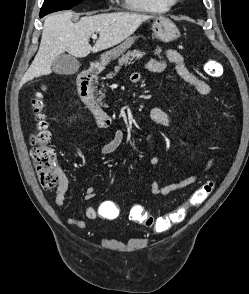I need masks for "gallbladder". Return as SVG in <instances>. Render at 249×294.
Returning a JSON list of instances; mask_svg holds the SVG:
<instances>
[{"label": "gallbladder", "instance_id": "1", "mask_svg": "<svg viewBox=\"0 0 249 294\" xmlns=\"http://www.w3.org/2000/svg\"><path fill=\"white\" fill-rule=\"evenodd\" d=\"M80 67L78 60L69 54H60L52 64V70L60 75L75 74Z\"/></svg>", "mask_w": 249, "mask_h": 294}]
</instances>
